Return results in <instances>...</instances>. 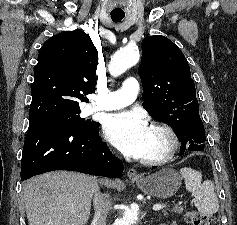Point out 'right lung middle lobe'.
Segmentation results:
<instances>
[{
	"label": "right lung middle lobe",
	"instance_id": "right-lung-middle-lobe-1",
	"mask_svg": "<svg viewBox=\"0 0 237 225\" xmlns=\"http://www.w3.org/2000/svg\"><path fill=\"white\" fill-rule=\"evenodd\" d=\"M80 111L69 113V114H62L53 116L51 118H48L46 120L41 121V123H52V124H58L67 126L69 128H72L74 130H91L98 126V123L91 122L90 120L82 119L80 116Z\"/></svg>",
	"mask_w": 237,
	"mask_h": 225
}]
</instances>
